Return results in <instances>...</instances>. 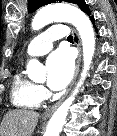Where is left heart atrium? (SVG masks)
I'll list each match as a JSON object with an SVG mask.
<instances>
[{"label": "left heart atrium", "mask_w": 117, "mask_h": 136, "mask_svg": "<svg viewBox=\"0 0 117 136\" xmlns=\"http://www.w3.org/2000/svg\"><path fill=\"white\" fill-rule=\"evenodd\" d=\"M46 65L48 86L55 91L65 88L74 71V58L70 50L66 48L57 49L48 57Z\"/></svg>", "instance_id": "obj_1"}]
</instances>
